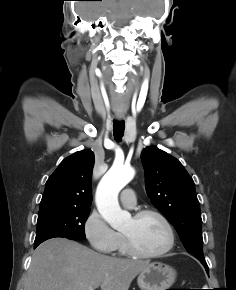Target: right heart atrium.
I'll list each match as a JSON object with an SVG mask.
<instances>
[{"mask_svg": "<svg viewBox=\"0 0 236 290\" xmlns=\"http://www.w3.org/2000/svg\"><path fill=\"white\" fill-rule=\"evenodd\" d=\"M83 232L90 246L99 253H112L120 240V235L110 228L97 210H92L86 217Z\"/></svg>", "mask_w": 236, "mask_h": 290, "instance_id": "d8ad5b80", "label": "right heart atrium"}]
</instances>
